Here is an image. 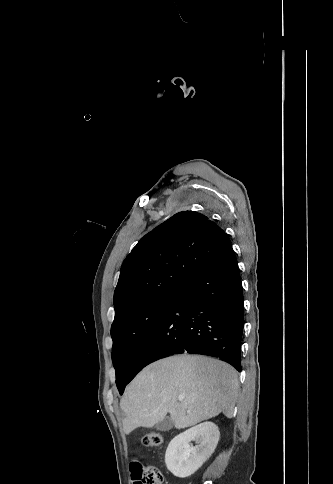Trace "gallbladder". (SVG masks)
<instances>
[{
  "instance_id": "1",
  "label": "gallbladder",
  "mask_w": 333,
  "mask_h": 484,
  "mask_svg": "<svg viewBox=\"0 0 333 484\" xmlns=\"http://www.w3.org/2000/svg\"><path fill=\"white\" fill-rule=\"evenodd\" d=\"M174 422L170 417H165L163 420L159 421L156 425L155 428L158 431L161 432H166L169 431L173 428Z\"/></svg>"
}]
</instances>
